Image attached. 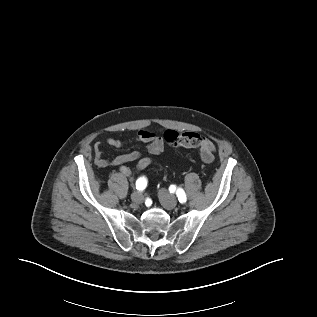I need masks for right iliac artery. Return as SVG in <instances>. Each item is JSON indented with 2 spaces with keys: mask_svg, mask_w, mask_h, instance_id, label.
<instances>
[{
  "mask_svg": "<svg viewBox=\"0 0 317 317\" xmlns=\"http://www.w3.org/2000/svg\"><path fill=\"white\" fill-rule=\"evenodd\" d=\"M147 186V180L145 177H140L137 181H136V189L139 191H143Z\"/></svg>",
  "mask_w": 317,
  "mask_h": 317,
  "instance_id": "1",
  "label": "right iliac artery"
}]
</instances>
